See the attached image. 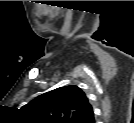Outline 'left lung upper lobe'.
<instances>
[{"instance_id":"left-lung-upper-lobe-1","label":"left lung upper lobe","mask_w":134,"mask_h":123,"mask_svg":"<svg viewBox=\"0 0 134 123\" xmlns=\"http://www.w3.org/2000/svg\"><path fill=\"white\" fill-rule=\"evenodd\" d=\"M41 120L56 123H94L85 93L77 86H64L38 96L24 106Z\"/></svg>"}]
</instances>
